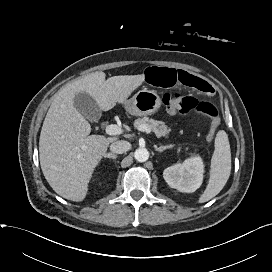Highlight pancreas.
Masks as SVG:
<instances>
[{
    "instance_id": "cf45deb5",
    "label": "pancreas",
    "mask_w": 272,
    "mask_h": 272,
    "mask_svg": "<svg viewBox=\"0 0 272 272\" xmlns=\"http://www.w3.org/2000/svg\"><path fill=\"white\" fill-rule=\"evenodd\" d=\"M143 125L147 126L151 131H153L158 138L167 137L171 132V128L165 125L164 122L149 119L148 117L136 119L134 122V126L136 128H139Z\"/></svg>"
}]
</instances>
